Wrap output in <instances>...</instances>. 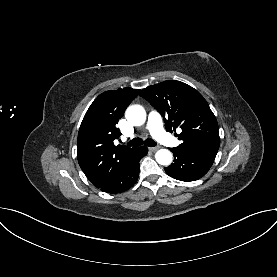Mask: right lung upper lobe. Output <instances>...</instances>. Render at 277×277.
<instances>
[{
	"instance_id": "cb5924a9",
	"label": "right lung upper lobe",
	"mask_w": 277,
	"mask_h": 277,
	"mask_svg": "<svg viewBox=\"0 0 277 277\" xmlns=\"http://www.w3.org/2000/svg\"><path fill=\"white\" fill-rule=\"evenodd\" d=\"M140 90L123 88L100 94L90 105L77 139V158L87 178L100 188L131 159L138 147L115 146L121 132L116 127Z\"/></svg>"
}]
</instances>
